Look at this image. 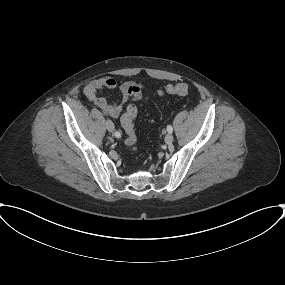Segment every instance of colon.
<instances>
[{
    "mask_svg": "<svg viewBox=\"0 0 285 285\" xmlns=\"http://www.w3.org/2000/svg\"><path fill=\"white\" fill-rule=\"evenodd\" d=\"M188 92V85L186 83L180 82L166 86L165 89L159 91V94L183 96L186 95ZM137 113V107L135 105H129L121 117V125L127 135L125 143L134 151L138 148V138L134 128V120L137 116Z\"/></svg>",
    "mask_w": 285,
    "mask_h": 285,
    "instance_id": "colon-1",
    "label": "colon"
}]
</instances>
